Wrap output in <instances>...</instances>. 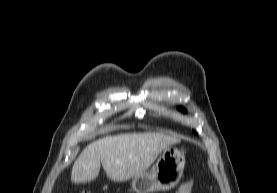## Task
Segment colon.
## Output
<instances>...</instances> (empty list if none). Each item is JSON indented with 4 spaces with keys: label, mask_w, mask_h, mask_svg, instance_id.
Returning a JSON list of instances; mask_svg holds the SVG:
<instances>
[{
    "label": "colon",
    "mask_w": 277,
    "mask_h": 193,
    "mask_svg": "<svg viewBox=\"0 0 277 193\" xmlns=\"http://www.w3.org/2000/svg\"><path fill=\"white\" fill-rule=\"evenodd\" d=\"M193 189V181L188 180L184 182L175 193H191ZM80 193H90L88 191H82Z\"/></svg>",
    "instance_id": "obj_1"
}]
</instances>
